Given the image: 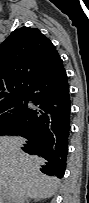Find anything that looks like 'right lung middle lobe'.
<instances>
[{"instance_id": "right-lung-middle-lobe-1", "label": "right lung middle lobe", "mask_w": 89, "mask_h": 203, "mask_svg": "<svg viewBox=\"0 0 89 203\" xmlns=\"http://www.w3.org/2000/svg\"><path fill=\"white\" fill-rule=\"evenodd\" d=\"M27 96L0 105V136L7 135L28 111Z\"/></svg>"}]
</instances>
